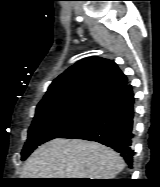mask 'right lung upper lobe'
<instances>
[{
    "mask_svg": "<svg viewBox=\"0 0 160 187\" xmlns=\"http://www.w3.org/2000/svg\"><path fill=\"white\" fill-rule=\"evenodd\" d=\"M127 83L126 76L112 60L95 56L84 58L51 83L37 108L72 101L97 102Z\"/></svg>",
    "mask_w": 160,
    "mask_h": 187,
    "instance_id": "obj_1",
    "label": "right lung upper lobe"
}]
</instances>
